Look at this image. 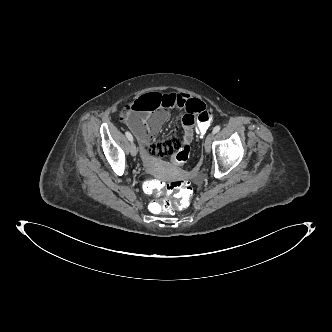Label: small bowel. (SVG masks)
Listing matches in <instances>:
<instances>
[{
  "mask_svg": "<svg viewBox=\"0 0 332 332\" xmlns=\"http://www.w3.org/2000/svg\"><path fill=\"white\" fill-rule=\"evenodd\" d=\"M170 110L182 112L184 133L178 141L170 140L162 146H154L153 140L168 119ZM204 110H206L205 103L188 94L146 91L138 95L127 111L125 122L143 147L142 158L150 165L159 158L173 155L182 146L190 145L198 122L197 116Z\"/></svg>",
  "mask_w": 332,
  "mask_h": 332,
  "instance_id": "1",
  "label": "small bowel"
}]
</instances>
